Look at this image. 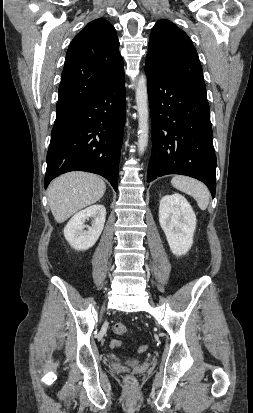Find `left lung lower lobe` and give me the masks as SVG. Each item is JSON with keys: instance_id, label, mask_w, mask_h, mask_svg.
<instances>
[{"instance_id": "1", "label": "left lung lower lobe", "mask_w": 253, "mask_h": 413, "mask_svg": "<svg viewBox=\"0 0 253 413\" xmlns=\"http://www.w3.org/2000/svg\"><path fill=\"white\" fill-rule=\"evenodd\" d=\"M152 121V154L148 183L167 174H181L216 191V156L210 109L203 95L171 80L146 62Z\"/></svg>"}]
</instances>
